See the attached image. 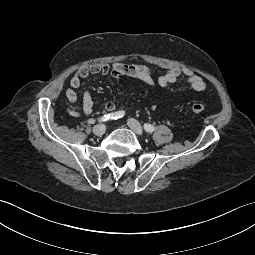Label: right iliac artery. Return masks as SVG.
Segmentation results:
<instances>
[{
	"mask_svg": "<svg viewBox=\"0 0 255 255\" xmlns=\"http://www.w3.org/2000/svg\"><path fill=\"white\" fill-rule=\"evenodd\" d=\"M124 115H125V111H123V110L117 111V112H114V113L104 115L103 117L98 119V122L100 123V122H105V121H108V120H116V119H119V118L123 117Z\"/></svg>",
	"mask_w": 255,
	"mask_h": 255,
	"instance_id": "obj_1",
	"label": "right iliac artery"
}]
</instances>
